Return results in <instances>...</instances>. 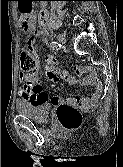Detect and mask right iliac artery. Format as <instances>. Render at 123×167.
I'll list each match as a JSON object with an SVG mask.
<instances>
[{"label": "right iliac artery", "instance_id": "1", "mask_svg": "<svg viewBox=\"0 0 123 167\" xmlns=\"http://www.w3.org/2000/svg\"><path fill=\"white\" fill-rule=\"evenodd\" d=\"M50 47H51L53 50H58L59 47H60V44L57 43V42H55V41H53V42L50 43Z\"/></svg>", "mask_w": 123, "mask_h": 167}]
</instances>
